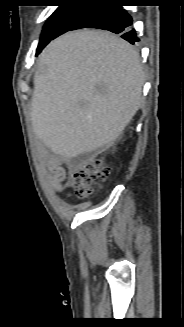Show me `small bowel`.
Wrapping results in <instances>:
<instances>
[{"mask_svg": "<svg viewBox=\"0 0 184 327\" xmlns=\"http://www.w3.org/2000/svg\"><path fill=\"white\" fill-rule=\"evenodd\" d=\"M47 164L52 173V181L54 190L57 193H62L64 190V184L67 182L70 172L73 168L66 158H47Z\"/></svg>", "mask_w": 184, "mask_h": 327, "instance_id": "small-bowel-1", "label": "small bowel"}]
</instances>
